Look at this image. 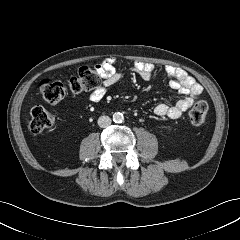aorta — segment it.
Instances as JSON below:
<instances>
[{
  "label": "aorta",
  "mask_w": 240,
  "mask_h": 240,
  "mask_svg": "<svg viewBox=\"0 0 240 240\" xmlns=\"http://www.w3.org/2000/svg\"><path fill=\"white\" fill-rule=\"evenodd\" d=\"M124 120V116L122 113L117 112L113 114V121L115 123H121Z\"/></svg>",
  "instance_id": "1"
}]
</instances>
